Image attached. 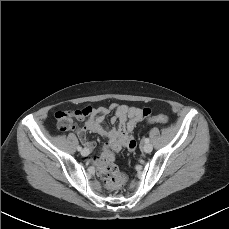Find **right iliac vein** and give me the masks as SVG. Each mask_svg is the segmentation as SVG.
<instances>
[{
	"label": "right iliac vein",
	"mask_w": 229,
	"mask_h": 229,
	"mask_svg": "<svg viewBox=\"0 0 229 229\" xmlns=\"http://www.w3.org/2000/svg\"><path fill=\"white\" fill-rule=\"evenodd\" d=\"M81 154H82L83 156H87V155L89 154V150L83 149V150L81 151Z\"/></svg>",
	"instance_id": "63e3f726"
}]
</instances>
